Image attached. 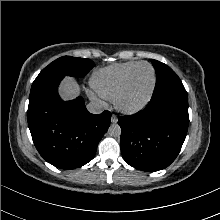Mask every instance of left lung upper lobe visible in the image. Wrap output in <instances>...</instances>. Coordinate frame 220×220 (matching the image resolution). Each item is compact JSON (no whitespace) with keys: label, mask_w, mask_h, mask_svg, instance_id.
<instances>
[{"label":"left lung upper lobe","mask_w":220,"mask_h":220,"mask_svg":"<svg viewBox=\"0 0 220 220\" xmlns=\"http://www.w3.org/2000/svg\"><path fill=\"white\" fill-rule=\"evenodd\" d=\"M156 70V85L151 100L173 99L188 104L187 92L177 74L166 64L151 59Z\"/></svg>","instance_id":"1"}]
</instances>
